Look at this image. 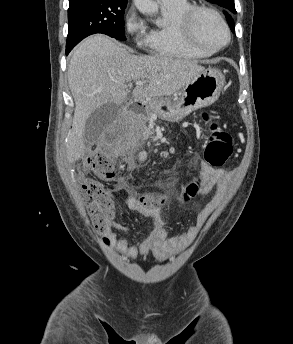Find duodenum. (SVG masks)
<instances>
[{
	"label": "duodenum",
	"instance_id": "1",
	"mask_svg": "<svg viewBox=\"0 0 293 344\" xmlns=\"http://www.w3.org/2000/svg\"><path fill=\"white\" fill-rule=\"evenodd\" d=\"M143 109L141 106H138L137 108V111L141 112ZM134 112V109H132V107L130 105H128L126 108H125V113H124V116H123V119L121 121V124L124 125L127 121V117L129 115H131L132 113Z\"/></svg>",
	"mask_w": 293,
	"mask_h": 344
}]
</instances>
